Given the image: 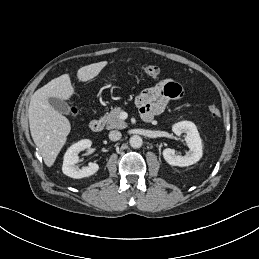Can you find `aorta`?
Masks as SVG:
<instances>
[{"instance_id": "obj_1", "label": "aorta", "mask_w": 259, "mask_h": 259, "mask_svg": "<svg viewBox=\"0 0 259 259\" xmlns=\"http://www.w3.org/2000/svg\"><path fill=\"white\" fill-rule=\"evenodd\" d=\"M131 147L140 148L143 144V140L139 135H133L129 141Z\"/></svg>"}]
</instances>
